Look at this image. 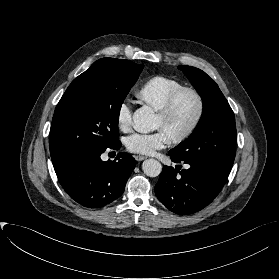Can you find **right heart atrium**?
<instances>
[{
  "mask_svg": "<svg viewBox=\"0 0 279 279\" xmlns=\"http://www.w3.org/2000/svg\"><path fill=\"white\" fill-rule=\"evenodd\" d=\"M116 122L122 131H127L132 125V107L128 101H123L117 108Z\"/></svg>",
  "mask_w": 279,
  "mask_h": 279,
  "instance_id": "right-heart-atrium-1",
  "label": "right heart atrium"
}]
</instances>
